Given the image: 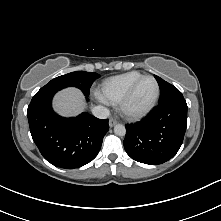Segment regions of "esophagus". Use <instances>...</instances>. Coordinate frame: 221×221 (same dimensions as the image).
I'll return each instance as SVG.
<instances>
[{
	"mask_svg": "<svg viewBox=\"0 0 221 221\" xmlns=\"http://www.w3.org/2000/svg\"><path fill=\"white\" fill-rule=\"evenodd\" d=\"M116 124H117V120L114 119V118H110V120H109V126H110V127H113V126L116 125Z\"/></svg>",
	"mask_w": 221,
	"mask_h": 221,
	"instance_id": "esophagus-1",
	"label": "esophagus"
}]
</instances>
